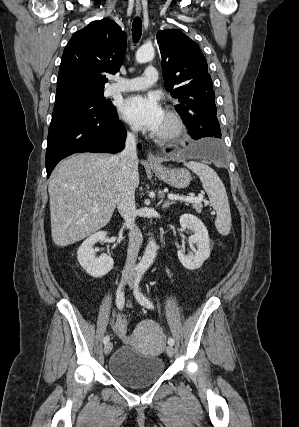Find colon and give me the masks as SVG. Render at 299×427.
Returning <instances> with one entry per match:
<instances>
[{
  "instance_id": "5ec220e1",
  "label": "colon",
  "mask_w": 299,
  "mask_h": 427,
  "mask_svg": "<svg viewBox=\"0 0 299 427\" xmlns=\"http://www.w3.org/2000/svg\"><path fill=\"white\" fill-rule=\"evenodd\" d=\"M116 328H117V332L119 334H122L124 336H129V332L127 331V328H126V320H125V318L121 317L118 320V322L116 324Z\"/></svg>"
}]
</instances>
